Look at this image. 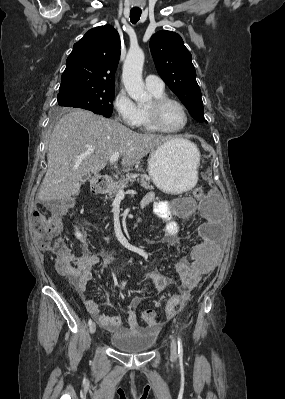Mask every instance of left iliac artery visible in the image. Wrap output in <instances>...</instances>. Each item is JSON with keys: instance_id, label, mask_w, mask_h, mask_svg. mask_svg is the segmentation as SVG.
<instances>
[{"instance_id": "1", "label": "left iliac artery", "mask_w": 285, "mask_h": 399, "mask_svg": "<svg viewBox=\"0 0 285 399\" xmlns=\"http://www.w3.org/2000/svg\"><path fill=\"white\" fill-rule=\"evenodd\" d=\"M177 343H178V356L182 357V355H183V346H182V340H181V338L179 336H178V339H177Z\"/></svg>"}]
</instances>
